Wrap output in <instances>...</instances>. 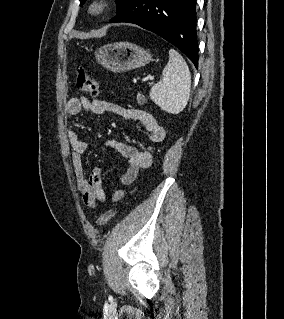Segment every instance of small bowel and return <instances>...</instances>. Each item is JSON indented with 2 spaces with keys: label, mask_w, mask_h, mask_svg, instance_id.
Returning <instances> with one entry per match:
<instances>
[{
  "label": "small bowel",
  "mask_w": 284,
  "mask_h": 319,
  "mask_svg": "<svg viewBox=\"0 0 284 319\" xmlns=\"http://www.w3.org/2000/svg\"><path fill=\"white\" fill-rule=\"evenodd\" d=\"M82 110L94 115L113 113L139 122L146 130L151 143H159L166 137L165 129L154 116L143 110L124 108L104 100H90L84 96L70 98L65 104V111L70 116L77 115ZM68 140L73 150L72 165L83 203L90 208H95L98 203H107L109 198L102 187L100 168H93L88 176L85 174L82 156L87 149V143L73 130L68 131ZM106 146L117 150L127 161V167L121 176L123 185H131L136 180L139 170L149 167L152 163L151 146L140 149L115 140H108ZM124 195L125 191L118 188L113 192L111 200L118 202L123 199Z\"/></svg>",
  "instance_id": "obj_1"
}]
</instances>
